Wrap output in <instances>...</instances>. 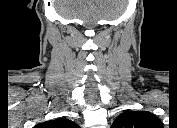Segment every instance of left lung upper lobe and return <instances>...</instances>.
Returning a JSON list of instances; mask_svg holds the SVG:
<instances>
[{
	"mask_svg": "<svg viewBox=\"0 0 177 128\" xmlns=\"http://www.w3.org/2000/svg\"><path fill=\"white\" fill-rule=\"evenodd\" d=\"M161 121L148 111H127L120 114L111 128H161Z\"/></svg>",
	"mask_w": 177,
	"mask_h": 128,
	"instance_id": "1",
	"label": "left lung upper lobe"
}]
</instances>
